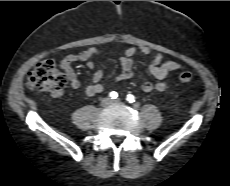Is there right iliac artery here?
I'll return each mask as SVG.
<instances>
[{"label": "right iliac artery", "mask_w": 230, "mask_h": 186, "mask_svg": "<svg viewBox=\"0 0 230 186\" xmlns=\"http://www.w3.org/2000/svg\"><path fill=\"white\" fill-rule=\"evenodd\" d=\"M109 97H110L111 99H116V98L118 97V94H117V92L112 91V92L109 93Z\"/></svg>", "instance_id": "1"}]
</instances>
